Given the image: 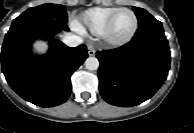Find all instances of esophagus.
Here are the masks:
<instances>
[{
  "mask_svg": "<svg viewBox=\"0 0 194 133\" xmlns=\"http://www.w3.org/2000/svg\"><path fill=\"white\" fill-rule=\"evenodd\" d=\"M87 52L89 56H94L95 55V49L92 46L87 47Z\"/></svg>",
  "mask_w": 194,
  "mask_h": 133,
  "instance_id": "esophagus-1",
  "label": "esophagus"
}]
</instances>
